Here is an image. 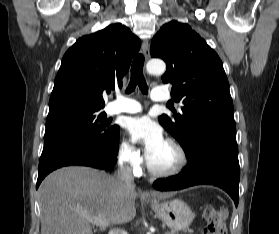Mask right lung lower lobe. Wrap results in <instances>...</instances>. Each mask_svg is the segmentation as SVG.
<instances>
[{"label": "right lung lower lobe", "mask_w": 279, "mask_h": 234, "mask_svg": "<svg viewBox=\"0 0 279 234\" xmlns=\"http://www.w3.org/2000/svg\"><path fill=\"white\" fill-rule=\"evenodd\" d=\"M119 134L109 149L83 136L68 135L44 142L39 160L38 188L44 177L51 171L69 165H83L107 169L117 160Z\"/></svg>", "instance_id": "right-lung-lower-lobe-1"}]
</instances>
